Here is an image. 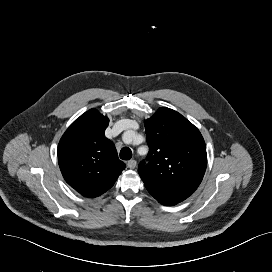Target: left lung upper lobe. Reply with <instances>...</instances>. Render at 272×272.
I'll use <instances>...</instances> for the list:
<instances>
[{
    "mask_svg": "<svg viewBox=\"0 0 272 272\" xmlns=\"http://www.w3.org/2000/svg\"><path fill=\"white\" fill-rule=\"evenodd\" d=\"M149 164L138 172L145 185L189 197L201 183L206 145L200 131L180 113L162 107L145 120Z\"/></svg>",
    "mask_w": 272,
    "mask_h": 272,
    "instance_id": "obj_1",
    "label": "left lung upper lobe"
}]
</instances>
